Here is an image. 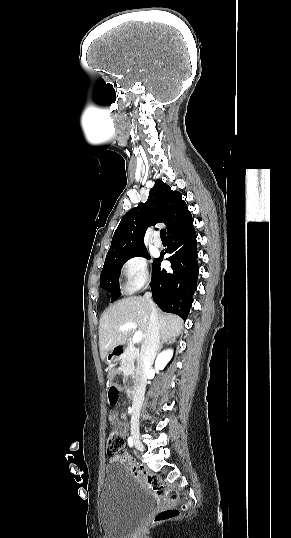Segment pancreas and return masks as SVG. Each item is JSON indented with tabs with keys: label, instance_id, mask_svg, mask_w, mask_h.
I'll return each instance as SVG.
<instances>
[{
	"label": "pancreas",
	"instance_id": "1",
	"mask_svg": "<svg viewBox=\"0 0 291 538\" xmlns=\"http://www.w3.org/2000/svg\"><path fill=\"white\" fill-rule=\"evenodd\" d=\"M134 356V351L130 347H128L124 354L120 357L122 369H127L128 366H131V362L133 361Z\"/></svg>",
	"mask_w": 291,
	"mask_h": 538
}]
</instances>
